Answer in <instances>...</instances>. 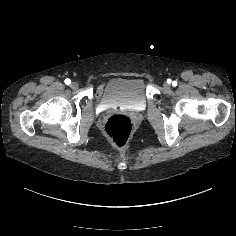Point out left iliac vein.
<instances>
[{"instance_id": "4c4485c4", "label": "left iliac vein", "mask_w": 236, "mask_h": 236, "mask_svg": "<svg viewBox=\"0 0 236 236\" xmlns=\"http://www.w3.org/2000/svg\"><path fill=\"white\" fill-rule=\"evenodd\" d=\"M164 87H165L166 89H169V88L171 87V85H170L168 82H165V83H164Z\"/></svg>"}]
</instances>
